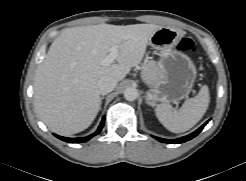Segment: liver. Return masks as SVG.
I'll return each instance as SVG.
<instances>
[{"mask_svg":"<svg viewBox=\"0 0 246 181\" xmlns=\"http://www.w3.org/2000/svg\"><path fill=\"white\" fill-rule=\"evenodd\" d=\"M154 24H99L64 30L51 44L37 68L34 106L46 126L60 135L87 129L99 111V79L123 80L143 59ZM113 46L117 63L103 65Z\"/></svg>","mask_w":246,"mask_h":181,"instance_id":"obj_1","label":"liver"}]
</instances>
